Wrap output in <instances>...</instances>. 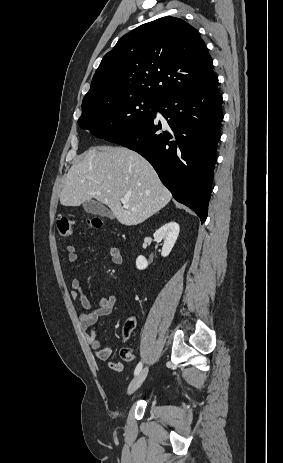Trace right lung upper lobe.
<instances>
[{"instance_id": "obj_1", "label": "right lung upper lobe", "mask_w": 283, "mask_h": 463, "mask_svg": "<svg viewBox=\"0 0 283 463\" xmlns=\"http://www.w3.org/2000/svg\"><path fill=\"white\" fill-rule=\"evenodd\" d=\"M199 32L186 21L162 17L124 35L102 59L82 105L111 95L160 101L217 76Z\"/></svg>"}]
</instances>
